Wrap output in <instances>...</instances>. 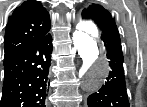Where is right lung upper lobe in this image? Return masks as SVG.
Wrapping results in <instances>:
<instances>
[{"instance_id": "cb5924a9", "label": "right lung upper lobe", "mask_w": 147, "mask_h": 107, "mask_svg": "<svg viewBox=\"0 0 147 107\" xmlns=\"http://www.w3.org/2000/svg\"><path fill=\"white\" fill-rule=\"evenodd\" d=\"M50 27L49 13L40 2H23L8 19L4 38V60L48 35Z\"/></svg>"}]
</instances>
